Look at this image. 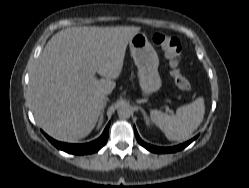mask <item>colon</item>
Wrapping results in <instances>:
<instances>
[{
    "mask_svg": "<svg viewBox=\"0 0 249 188\" xmlns=\"http://www.w3.org/2000/svg\"><path fill=\"white\" fill-rule=\"evenodd\" d=\"M152 40L155 45L164 51L177 87L185 92L191 91V84L180 69L182 45L179 39L163 33H155Z\"/></svg>",
    "mask_w": 249,
    "mask_h": 188,
    "instance_id": "5ec220e1",
    "label": "colon"
}]
</instances>
